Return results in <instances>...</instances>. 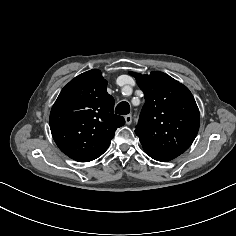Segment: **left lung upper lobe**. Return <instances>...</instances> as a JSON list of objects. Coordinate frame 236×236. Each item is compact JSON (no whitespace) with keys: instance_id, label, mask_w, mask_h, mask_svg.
Returning a JSON list of instances; mask_svg holds the SVG:
<instances>
[{"instance_id":"left-lung-upper-lobe-1","label":"left lung upper lobe","mask_w":236,"mask_h":236,"mask_svg":"<svg viewBox=\"0 0 236 236\" xmlns=\"http://www.w3.org/2000/svg\"><path fill=\"white\" fill-rule=\"evenodd\" d=\"M144 92L135 133L143 149L180 155L193 143L200 113L189 89L163 72L130 73Z\"/></svg>"}]
</instances>
